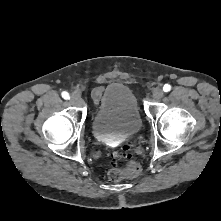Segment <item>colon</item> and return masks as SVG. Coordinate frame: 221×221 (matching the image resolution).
<instances>
[{"mask_svg": "<svg viewBox=\"0 0 221 221\" xmlns=\"http://www.w3.org/2000/svg\"><path fill=\"white\" fill-rule=\"evenodd\" d=\"M112 159L115 160L118 157L128 159L123 168H112L109 173V179L112 181H120L124 178H134L141 173V166L136 161L130 160L129 147L124 146L122 151L118 153H112Z\"/></svg>", "mask_w": 221, "mask_h": 221, "instance_id": "obj_1", "label": "colon"}]
</instances>
